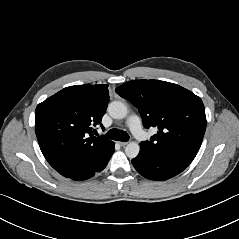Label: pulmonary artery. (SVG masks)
I'll return each instance as SVG.
<instances>
[{"mask_svg": "<svg viewBox=\"0 0 239 239\" xmlns=\"http://www.w3.org/2000/svg\"><path fill=\"white\" fill-rule=\"evenodd\" d=\"M127 125L137 139L139 140L144 139L145 132L143 130L141 120L138 116L136 115L131 116L127 121Z\"/></svg>", "mask_w": 239, "mask_h": 239, "instance_id": "e3ab8cb5", "label": "pulmonary artery"}]
</instances>
